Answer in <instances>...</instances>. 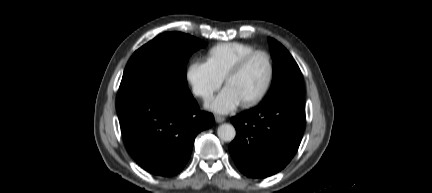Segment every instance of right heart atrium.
I'll return each instance as SVG.
<instances>
[{
    "mask_svg": "<svg viewBox=\"0 0 432 193\" xmlns=\"http://www.w3.org/2000/svg\"><path fill=\"white\" fill-rule=\"evenodd\" d=\"M186 77L193 93L204 100L211 99L222 84V80L205 61L191 63L188 66Z\"/></svg>",
    "mask_w": 432,
    "mask_h": 193,
    "instance_id": "obj_1",
    "label": "right heart atrium"
}]
</instances>
